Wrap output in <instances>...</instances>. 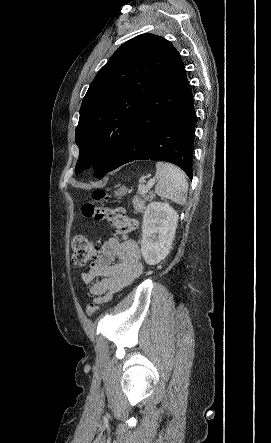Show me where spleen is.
<instances>
[{
  "instance_id": "3e777b00",
  "label": "spleen",
  "mask_w": 271,
  "mask_h": 443,
  "mask_svg": "<svg viewBox=\"0 0 271 443\" xmlns=\"http://www.w3.org/2000/svg\"><path fill=\"white\" fill-rule=\"evenodd\" d=\"M156 178L158 180V184L155 186V194L157 196L166 198V200H172V202H176L180 206L185 204L188 184L185 174L180 168H176L172 164L157 162Z\"/></svg>"
}]
</instances>
